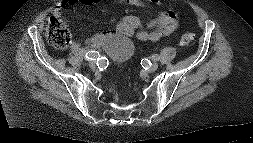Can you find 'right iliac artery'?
Masks as SVG:
<instances>
[{
    "label": "right iliac artery",
    "mask_w": 253,
    "mask_h": 143,
    "mask_svg": "<svg viewBox=\"0 0 253 143\" xmlns=\"http://www.w3.org/2000/svg\"><path fill=\"white\" fill-rule=\"evenodd\" d=\"M85 58H86L87 60H99L100 54H99L98 51L91 50V51H88V52L85 54Z\"/></svg>",
    "instance_id": "1"
}]
</instances>
